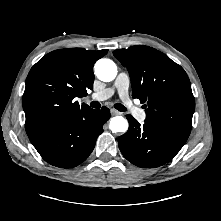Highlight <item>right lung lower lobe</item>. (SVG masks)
I'll return each instance as SVG.
<instances>
[{
    "instance_id": "98d812e1",
    "label": "right lung lower lobe",
    "mask_w": 221,
    "mask_h": 221,
    "mask_svg": "<svg viewBox=\"0 0 221 221\" xmlns=\"http://www.w3.org/2000/svg\"><path fill=\"white\" fill-rule=\"evenodd\" d=\"M110 118L106 107L86 108L71 114L61 123L28 134L42 158L60 168H73L93 151L103 124Z\"/></svg>"
}]
</instances>
